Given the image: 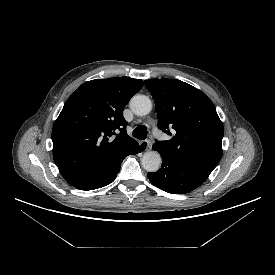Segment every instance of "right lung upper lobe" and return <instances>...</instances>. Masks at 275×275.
Returning a JSON list of instances; mask_svg holds the SVG:
<instances>
[{"mask_svg": "<svg viewBox=\"0 0 275 275\" xmlns=\"http://www.w3.org/2000/svg\"><path fill=\"white\" fill-rule=\"evenodd\" d=\"M143 86L129 77L83 83L66 101L52 130L53 158L72 186L110 171L138 143L126 133L123 109Z\"/></svg>", "mask_w": 275, "mask_h": 275, "instance_id": "1", "label": "right lung upper lobe"}]
</instances>
